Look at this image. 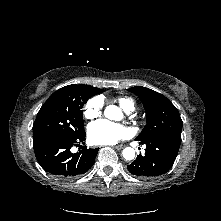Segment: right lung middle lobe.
<instances>
[{
    "label": "right lung middle lobe",
    "instance_id": "dd1d6c3e",
    "mask_svg": "<svg viewBox=\"0 0 221 221\" xmlns=\"http://www.w3.org/2000/svg\"><path fill=\"white\" fill-rule=\"evenodd\" d=\"M89 98L81 85H68L54 92L33 124V146L52 139L73 140L82 136L85 131L81 108Z\"/></svg>",
    "mask_w": 221,
    "mask_h": 221
}]
</instances>
